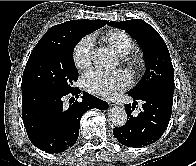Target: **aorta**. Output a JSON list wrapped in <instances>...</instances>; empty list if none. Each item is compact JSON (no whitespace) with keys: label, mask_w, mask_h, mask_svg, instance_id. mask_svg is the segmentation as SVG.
<instances>
[{"label":"aorta","mask_w":196,"mask_h":166,"mask_svg":"<svg viewBox=\"0 0 196 166\" xmlns=\"http://www.w3.org/2000/svg\"><path fill=\"white\" fill-rule=\"evenodd\" d=\"M93 62L102 68H113L116 64L115 54L107 48H98L93 53ZM110 121L116 127H122L127 121V113L123 107L115 106L108 110Z\"/></svg>","instance_id":"762f6f07"}]
</instances>
